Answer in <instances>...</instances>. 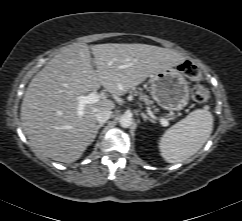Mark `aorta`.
Here are the masks:
<instances>
[{
	"mask_svg": "<svg viewBox=\"0 0 242 221\" xmlns=\"http://www.w3.org/2000/svg\"><path fill=\"white\" fill-rule=\"evenodd\" d=\"M120 126L123 128H128L133 124V118L130 114H123L119 118Z\"/></svg>",
	"mask_w": 242,
	"mask_h": 221,
	"instance_id": "762f6f07",
	"label": "aorta"
}]
</instances>
